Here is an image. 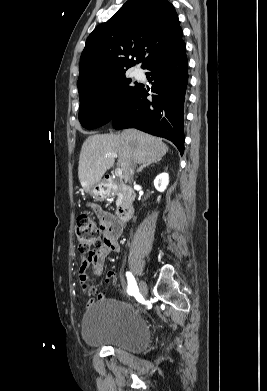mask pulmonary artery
I'll return each instance as SVG.
<instances>
[{"mask_svg":"<svg viewBox=\"0 0 267 391\" xmlns=\"http://www.w3.org/2000/svg\"><path fill=\"white\" fill-rule=\"evenodd\" d=\"M134 74H135L136 77H141L142 76V73L140 71H135Z\"/></svg>","mask_w":267,"mask_h":391,"instance_id":"1","label":"pulmonary artery"}]
</instances>
